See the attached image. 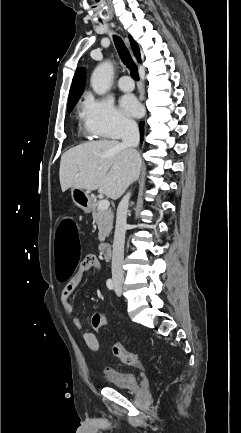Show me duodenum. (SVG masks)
<instances>
[{
	"label": "duodenum",
	"instance_id": "410a0bca",
	"mask_svg": "<svg viewBox=\"0 0 241 433\" xmlns=\"http://www.w3.org/2000/svg\"><path fill=\"white\" fill-rule=\"evenodd\" d=\"M100 253L104 260H109L112 255V245L110 243H102L100 245Z\"/></svg>",
	"mask_w": 241,
	"mask_h": 433
}]
</instances>
